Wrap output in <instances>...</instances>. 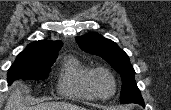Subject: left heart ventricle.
Wrapping results in <instances>:
<instances>
[{
	"mask_svg": "<svg viewBox=\"0 0 171 110\" xmlns=\"http://www.w3.org/2000/svg\"><path fill=\"white\" fill-rule=\"evenodd\" d=\"M95 88L102 96H109L113 91L111 80L105 75H98L95 79Z\"/></svg>",
	"mask_w": 171,
	"mask_h": 110,
	"instance_id": "1",
	"label": "left heart ventricle"
}]
</instances>
